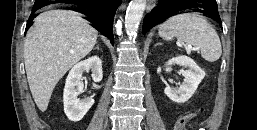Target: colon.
I'll list each match as a JSON object with an SVG mask.
<instances>
[{"instance_id":"5ec220e1","label":"colon","mask_w":257,"mask_h":130,"mask_svg":"<svg viewBox=\"0 0 257 130\" xmlns=\"http://www.w3.org/2000/svg\"><path fill=\"white\" fill-rule=\"evenodd\" d=\"M195 113H186L180 116L175 122L173 130H185L186 124L194 118Z\"/></svg>"}]
</instances>
